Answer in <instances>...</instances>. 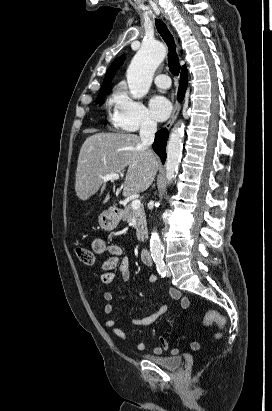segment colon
<instances>
[{
  "label": "colon",
  "mask_w": 272,
  "mask_h": 411,
  "mask_svg": "<svg viewBox=\"0 0 272 411\" xmlns=\"http://www.w3.org/2000/svg\"><path fill=\"white\" fill-rule=\"evenodd\" d=\"M76 255L78 260L87 266H92L95 262L94 254L93 252L86 248V247H77L76 248ZM203 323L206 326L212 325V324H217L220 329H222L225 326V318L220 315L217 312L214 311H209L205 314ZM221 336V333H217L216 337L219 338Z\"/></svg>",
  "instance_id": "colon-1"
}]
</instances>
